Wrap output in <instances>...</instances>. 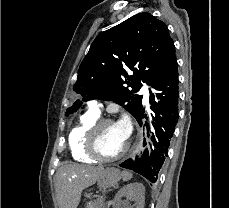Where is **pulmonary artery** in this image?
<instances>
[{
  "instance_id": "e3ab8cb5",
  "label": "pulmonary artery",
  "mask_w": 229,
  "mask_h": 208,
  "mask_svg": "<svg viewBox=\"0 0 229 208\" xmlns=\"http://www.w3.org/2000/svg\"><path fill=\"white\" fill-rule=\"evenodd\" d=\"M142 93L144 95L145 102H147V98H148V86L147 85L143 86ZM102 108H103V104L98 100H92L88 103V109L94 111L95 113L100 114Z\"/></svg>"
}]
</instances>
